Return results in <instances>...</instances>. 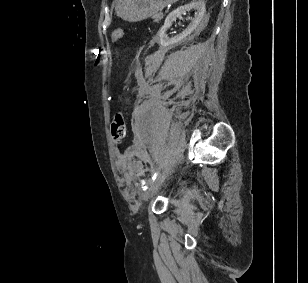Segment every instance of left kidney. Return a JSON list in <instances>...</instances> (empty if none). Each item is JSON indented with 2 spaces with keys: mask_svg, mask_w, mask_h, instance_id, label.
Masks as SVG:
<instances>
[{
  "mask_svg": "<svg viewBox=\"0 0 308 283\" xmlns=\"http://www.w3.org/2000/svg\"><path fill=\"white\" fill-rule=\"evenodd\" d=\"M192 9H195V16L187 17L190 20L189 26L179 35L169 38L166 34L167 30L171 27L172 22L176 21L177 18L182 19V15H186L187 12H190ZM205 15V2L204 0H195L187 5L180 6L176 10L172 11L167 18L165 19L164 25L161 27L158 32L159 43L163 47H168L175 43H178L190 35L200 24L201 20Z\"/></svg>",
  "mask_w": 308,
  "mask_h": 283,
  "instance_id": "1",
  "label": "left kidney"
}]
</instances>
